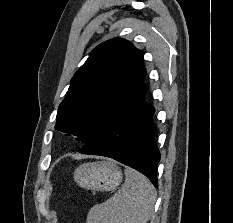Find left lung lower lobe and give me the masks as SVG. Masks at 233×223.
Returning <instances> with one entry per match:
<instances>
[{"label":"left lung lower lobe","mask_w":233,"mask_h":223,"mask_svg":"<svg viewBox=\"0 0 233 223\" xmlns=\"http://www.w3.org/2000/svg\"><path fill=\"white\" fill-rule=\"evenodd\" d=\"M147 91L146 86L141 85L79 152L113 158L140 171L157 187L160 153L154 141L155 109L145 101Z\"/></svg>","instance_id":"0a47b994"}]
</instances>
